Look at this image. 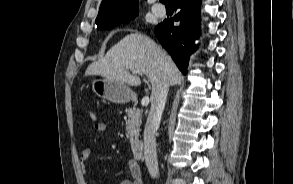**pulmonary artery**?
Segmentation results:
<instances>
[{"instance_id":"e3ab8cb5","label":"pulmonary artery","mask_w":293,"mask_h":184,"mask_svg":"<svg viewBox=\"0 0 293 184\" xmlns=\"http://www.w3.org/2000/svg\"><path fill=\"white\" fill-rule=\"evenodd\" d=\"M152 11L158 16H163L165 15L166 9L163 5L156 3L152 6Z\"/></svg>"}]
</instances>
